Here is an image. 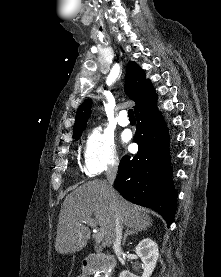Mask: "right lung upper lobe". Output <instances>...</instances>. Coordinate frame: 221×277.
I'll return each mask as SVG.
<instances>
[{"instance_id": "obj_1", "label": "right lung upper lobe", "mask_w": 221, "mask_h": 277, "mask_svg": "<svg viewBox=\"0 0 221 277\" xmlns=\"http://www.w3.org/2000/svg\"><path fill=\"white\" fill-rule=\"evenodd\" d=\"M125 92L136 105L134 111L137 112L143 105L151 100L156 94L150 82L146 80L143 69L134 61L129 62L126 69ZM92 100H85L78 108L76 113V121L73 128V134L83 131L88 118L91 114Z\"/></svg>"}]
</instances>
